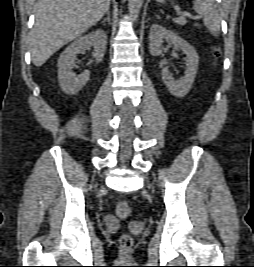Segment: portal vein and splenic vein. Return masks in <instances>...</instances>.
Instances as JSON below:
<instances>
[{
    "instance_id": "1",
    "label": "portal vein and splenic vein",
    "mask_w": 254,
    "mask_h": 267,
    "mask_svg": "<svg viewBox=\"0 0 254 267\" xmlns=\"http://www.w3.org/2000/svg\"><path fill=\"white\" fill-rule=\"evenodd\" d=\"M175 9H176L177 15H183V16H189L190 15L187 12L180 11V9L178 7H176Z\"/></svg>"
}]
</instances>
